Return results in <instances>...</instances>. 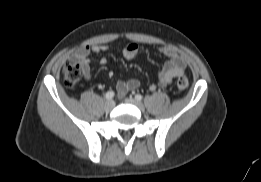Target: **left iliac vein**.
Returning a JSON list of instances; mask_svg holds the SVG:
<instances>
[{
    "label": "left iliac vein",
    "instance_id": "1",
    "mask_svg": "<svg viewBox=\"0 0 261 182\" xmlns=\"http://www.w3.org/2000/svg\"><path fill=\"white\" fill-rule=\"evenodd\" d=\"M124 101L128 104H132V105L137 106L140 110H144V105L134 98L128 97V98H125Z\"/></svg>",
    "mask_w": 261,
    "mask_h": 182
}]
</instances>
